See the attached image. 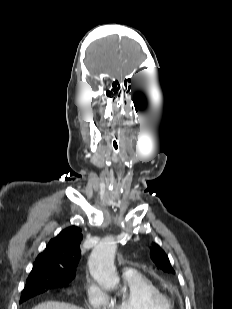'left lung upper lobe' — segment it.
I'll list each match as a JSON object with an SVG mask.
<instances>
[{"label": "left lung upper lobe", "mask_w": 232, "mask_h": 309, "mask_svg": "<svg viewBox=\"0 0 232 309\" xmlns=\"http://www.w3.org/2000/svg\"><path fill=\"white\" fill-rule=\"evenodd\" d=\"M151 258L156 266L166 272L174 273L170 261L165 252L155 243L152 244Z\"/></svg>", "instance_id": "1"}]
</instances>
